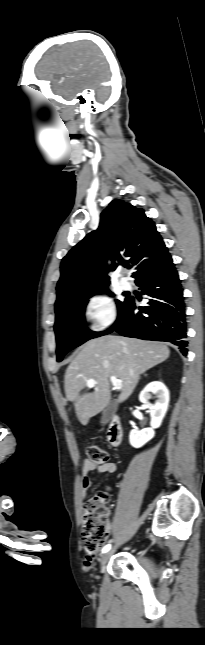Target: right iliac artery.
Returning <instances> with one entry per match:
<instances>
[{"instance_id":"obj_1","label":"right iliac artery","mask_w":205,"mask_h":645,"mask_svg":"<svg viewBox=\"0 0 205 645\" xmlns=\"http://www.w3.org/2000/svg\"><path fill=\"white\" fill-rule=\"evenodd\" d=\"M110 548H111V545H110V544L106 545V546L102 549V553H106V552H108V551L110 550Z\"/></svg>"}]
</instances>
